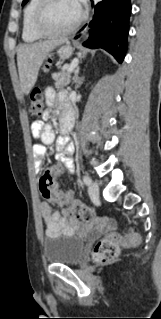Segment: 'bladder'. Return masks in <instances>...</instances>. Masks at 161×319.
Segmentation results:
<instances>
[{
    "mask_svg": "<svg viewBox=\"0 0 161 319\" xmlns=\"http://www.w3.org/2000/svg\"><path fill=\"white\" fill-rule=\"evenodd\" d=\"M85 249V241L76 234L46 235L43 239L44 260L51 264H77Z\"/></svg>",
    "mask_w": 161,
    "mask_h": 319,
    "instance_id": "bladder-1",
    "label": "bladder"
}]
</instances>
